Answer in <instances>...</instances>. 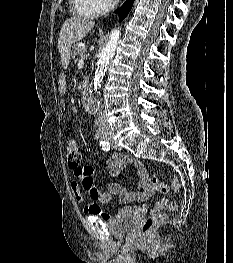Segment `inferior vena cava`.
I'll return each mask as SVG.
<instances>
[{"instance_id": "obj_1", "label": "inferior vena cava", "mask_w": 233, "mask_h": 263, "mask_svg": "<svg viewBox=\"0 0 233 263\" xmlns=\"http://www.w3.org/2000/svg\"><path fill=\"white\" fill-rule=\"evenodd\" d=\"M97 116H98V123H99L100 127L102 129L109 130L110 126L107 122V119L102 115V112L100 110L97 112Z\"/></svg>"}]
</instances>
